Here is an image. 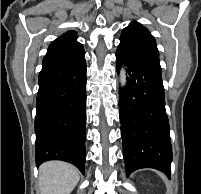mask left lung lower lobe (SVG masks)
<instances>
[{
    "label": "left lung lower lobe",
    "instance_id": "obj_1",
    "mask_svg": "<svg viewBox=\"0 0 201 194\" xmlns=\"http://www.w3.org/2000/svg\"><path fill=\"white\" fill-rule=\"evenodd\" d=\"M122 65L128 73L127 85L119 92L126 175L154 168L170 178L172 146L159 57L120 44L117 72Z\"/></svg>",
    "mask_w": 201,
    "mask_h": 194
}]
</instances>
